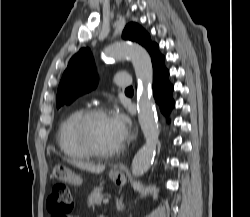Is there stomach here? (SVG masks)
<instances>
[{
  "instance_id": "1",
  "label": "stomach",
  "mask_w": 250,
  "mask_h": 217,
  "mask_svg": "<svg viewBox=\"0 0 250 217\" xmlns=\"http://www.w3.org/2000/svg\"><path fill=\"white\" fill-rule=\"evenodd\" d=\"M52 175L59 181L72 184V185H81L82 179L76 176L69 168L66 166L56 165L53 168ZM110 179L115 183L124 182L125 177L121 170L114 169L109 173Z\"/></svg>"
}]
</instances>
